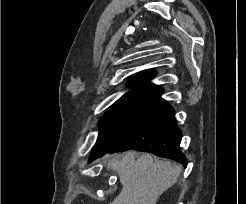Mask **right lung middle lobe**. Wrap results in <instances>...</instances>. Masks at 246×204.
<instances>
[{
	"instance_id": "1",
	"label": "right lung middle lobe",
	"mask_w": 246,
	"mask_h": 204,
	"mask_svg": "<svg viewBox=\"0 0 246 204\" xmlns=\"http://www.w3.org/2000/svg\"><path fill=\"white\" fill-rule=\"evenodd\" d=\"M134 101L115 102L100 121V132L90 158L103 156L110 149L116 139L121 123Z\"/></svg>"
}]
</instances>
